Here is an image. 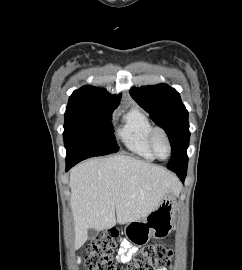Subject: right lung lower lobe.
I'll return each instance as SVG.
<instances>
[{
	"mask_svg": "<svg viewBox=\"0 0 242 270\" xmlns=\"http://www.w3.org/2000/svg\"><path fill=\"white\" fill-rule=\"evenodd\" d=\"M77 163L78 162H76V161H74V162H67L66 163V171H68L71 167H73Z\"/></svg>",
	"mask_w": 242,
	"mask_h": 270,
	"instance_id": "1",
	"label": "right lung lower lobe"
}]
</instances>
